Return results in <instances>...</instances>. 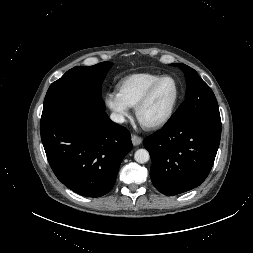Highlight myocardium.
I'll return each mask as SVG.
<instances>
[{
  "instance_id": "f54148a6",
  "label": "myocardium",
  "mask_w": 253,
  "mask_h": 253,
  "mask_svg": "<svg viewBox=\"0 0 253 253\" xmlns=\"http://www.w3.org/2000/svg\"><path fill=\"white\" fill-rule=\"evenodd\" d=\"M165 79H172L175 82L176 85V94L175 97L167 111V113L158 121L153 123H144L141 120V113L144 110V108L147 106V104L150 102L151 98L153 97L156 89L161 84L162 81ZM181 95V88L179 81L172 75H162L159 79H157L145 92V94L142 96V98L139 100L137 105L135 106V117L138 123L146 130H158L162 127H164L172 118L175 109L177 107V104L179 102Z\"/></svg>"
}]
</instances>
